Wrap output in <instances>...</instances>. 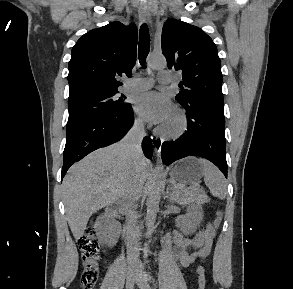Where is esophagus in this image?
<instances>
[{
  "instance_id": "obj_1",
  "label": "esophagus",
  "mask_w": 293,
  "mask_h": 289,
  "mask_svg": "<svg viewBox=\"0 0 293 289\" xmlns=\"http://www.w3.org/2000/svg\"><path fill=\"white\" fill-rule=\"evenodd\" d=\"M139 17L142 22H146L148 24L151 23L150 14L146 8H140ZM151 140H152L154 151L158 155L162 148V140L153 136H151Z\"/></svg>"
}]
</instances>
